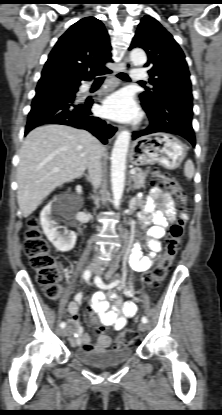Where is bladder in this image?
Wrapping results in <instances>:
<instances>
[{
    "instance_id": "31cf9c89",
    "label": "bladder",
    "mask_w": 222,
    "mask_h": 415,
    "mask_svg": "<svg viewBox=\"0 0 222 415\" xmlns=\"http://www.w3.org/2000/svg\"><path fill=\"white\" fill-rule=\"evenodd\" d=\"M72 356L78 362L96 368L118 366L128 361L133 356L131 348H117L102 352L74 350Z\"/></svg>"
}]
</instances>
